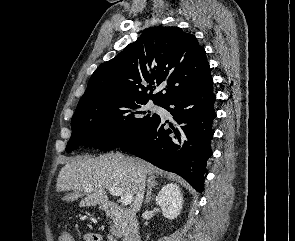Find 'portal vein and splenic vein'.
<instances>
[{
  "label": "portal vein and splenic vein",
  "instance_id": "portal-vein-and-splenic-vein-1",
  "mask_svg": "<svg viewBox=\"0 0 295 241\" xmlns=\"http://www.w3.org/2000/svg\"><path fill=\"white\" fill-rule=\"evenodd\" d=\"M89 187H86L85 190L88 191ZM112 195L114 196H121V203L122 205H129L133 200V195L130 193H125L123 189L119 187H110L107 189Z\"/></svg>",
  "mask_w": 295,
  "mask_h": 241
}]
</instances>
